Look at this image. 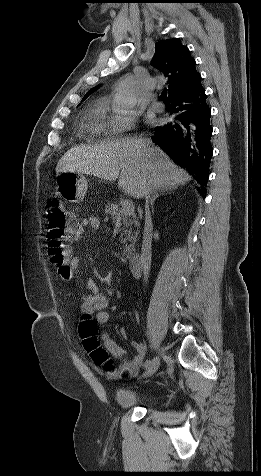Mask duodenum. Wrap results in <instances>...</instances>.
<instances>
[{"label": "duodenum", "instance_id": "410a0bca", "mask_svg": "<svg viewBox=\"0 0 261 476\" xmlns=\"http://www.w3.org/2000/svg\"><path fill=\"white\" fill-rule=\"evenodd\" d=\"M129 267L133 277L138 278L142 272V260L140 254H132L129 257Z\"/></svg>", "mask_w": 261, "mask_h": 476}]
</instances>
